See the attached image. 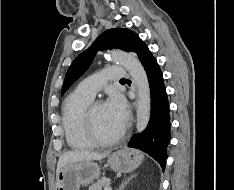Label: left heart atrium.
Masks as SVG:
<instances>
[{"instance_id": "left-heart-atrium-1", "label": "left heart atrium", "mask_w": 234, "mask_h": 190, "mask_svg": "<svg viewBox=\"0 0 234 190\" xmlns=\"http://www.w3.org/2000/svg\"><path fill=\"white\" fill-rule=\"evenodd\" d=\"M105 106L112 117L120 124L124 125L128 117V109L124 98L117 94L112 93L105 103Z\"/></svg>"}]
</instances>
